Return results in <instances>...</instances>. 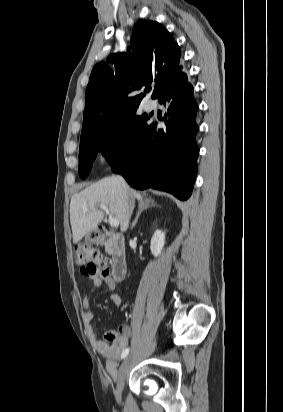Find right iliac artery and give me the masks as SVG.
Segmentation results:
<instances>
[{"mask_svg":"<svg viewBox=\"0 0 283 412\" xmlns=\"http://www.w3.org/2000/svg\"><path fill=\"white\" fill-rule=\"evenodd\" d=\"M128 354H129V348H126V349L123 351V353H122V355H121V358L124 359Z\"/></svg>","mask_w":283,"mask_h":412,"instance_id":"obj_1","label":"right iliac artery"}]
</instances>
